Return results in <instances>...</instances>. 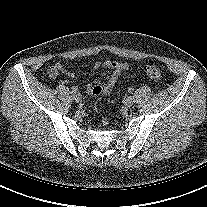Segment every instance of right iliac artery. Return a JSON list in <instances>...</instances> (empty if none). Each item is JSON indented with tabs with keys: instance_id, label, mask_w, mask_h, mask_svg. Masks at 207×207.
<instances>
[{
	"instance_id": "1",
	"label": "right iliac artery",
	"mask_w": 207,
	"mask_h": 207,
	"mask_svg": "<svg viewBox=\"0 0 207 207\" xmlns=\"http://www.w3.org/2000/svg\"><path fill=\"white\" fill-rule=\"evenodd\" d=\"M72 91L76 93L78 91L77 87H72Z\"/></svg>"
}]
</instances>
